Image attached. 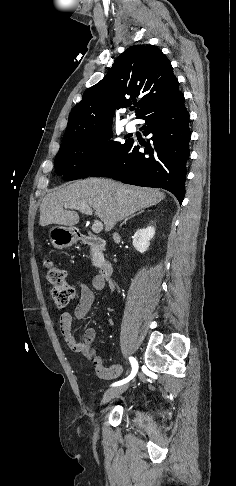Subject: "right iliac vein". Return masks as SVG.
<instances>
[{
	"label": "right iliac vein",
	"mask_w": 236,
	"mask_h": 486,
	"mask_svg": "<svg viewBox=\"0 0 236 486\" xmlns=\"http://www.w3.org/2000/svg\"><path fill=\"white\" fill-rule=\"evenodd\" d=\"M127 387H128V385L126 384V385H120V386H117V387H114V388L107 390L102 397L100 405H104V404L108 403L110 400L120 396L122 393H124L126 391ZM95 431L98 434V432H99L98 424H96V426H95Z\"/></svg>",
	"instance_id": "right-iliac-vein-1"
}]
</instances>
